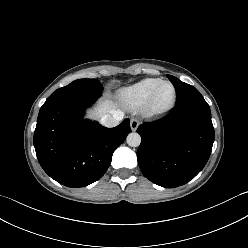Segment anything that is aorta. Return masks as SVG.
Returning a JSON list of instances; mask_svg holds the SVG:
<instances>
[{"label":"aorta","mask_w":248,"mask_h":248,"mask_svg":"<svg viewBox=\"0 0 248 248\" xmlns=\"http://www.w3.org/2000/svg\"><path fill=\"white\" fill-rule=\"evenodd\" d=\"M126 140L129 146L138 147L141 143V136L136 132H132L127 136Z\"/></svg>","instance_id":"aorta-1"}]
</instances>
